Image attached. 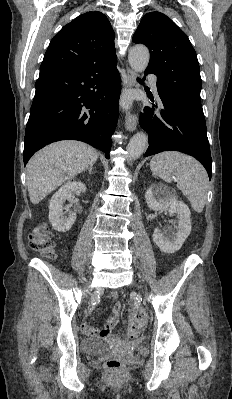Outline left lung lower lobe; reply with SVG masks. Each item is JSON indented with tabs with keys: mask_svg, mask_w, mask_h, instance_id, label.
Listing matches in <instances>:
<instances>
[{
	"mask_svg": "<svg viewBox=\"0 0 232 399\" xmlns=\"http://www.w3.org/2000/svg\"><path fill=\"white\" fill-rule=\"evenodd\" d=\"M145 74H149L145 72ZM158 103L145 107L139 124L148 133L149 147L145 157L162 151H180L195 157L205 167L211 179L212 158L205 119L195 115L178 99L159 86Z\"/></svg>",
	"mask_w": 232,
	"mask_h": 399,
	"instance_id": "0a47b994",
	"label": "left lung lower lobe"
}]
</instances>
